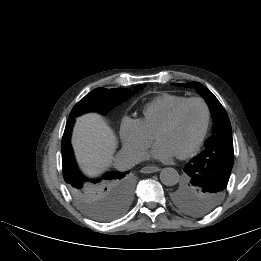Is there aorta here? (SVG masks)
I'll list each match as a JSON object with an SVG mask.
<instances>
[{
	"instance_id": "obj_1",
	"label": "aorta",
	"mask_w": 261,
	"mask_h": 261,
	"mask_svg": "<svg viewBox=\"0 0 261 261\" xmlns=\"http://www.w3.org/2000/svg\"><path fill=\"white\" fill-rule=\"evenodd\" d=\"M160 181L166 186H174L179 181V174L174 168H164L160 172Z\"/></svg>"
}]
</instances>
